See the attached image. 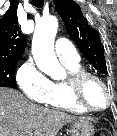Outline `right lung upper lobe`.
Returning a JSON list of instances; mask_svg holds the SVG:
<instances>
[{"instance_id":"cb5924a9","label":"right lung upper lobe","mask_w":117,"mask_h":136,"mask_svg":"<svg viewBox=\"0 0 117 136\" xmlns=\"http://www.w3.org/2000/svg\"><path fill=\"white\" fill-rule=\"evenodd\" d=\"M19 0H11L9 10L0 20V61H19L27 37L19 29L17 8Z\"/></svg>"}]
</instances>
